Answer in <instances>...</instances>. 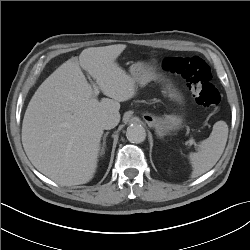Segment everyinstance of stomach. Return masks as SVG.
I'll return each mask as SVG.
<instances>
[{"instance_id": "0dacf381", "label": "stomach", "mask_w": 250, "mask_h": 250, "mask_svg": "<svg viewBox=\"0 0 250 250\" xmlns=\"http://www.w3.org/2000/svg\"><path fill=\"white\" fill-rule=\"evenodd\" d=\"M131 77L135 84L145 86L152 80L159 79L156 73L153 62H137L130 67ZM163 93L170 99L178 103L183 102V96L176 89L167 86ZM146 120L150 126L155 129L159 137H163L170 131L177 130L182 127L183 117L180 115H165L164 117H157L150 113H145Z\"/></svg>"}]
</instances>
